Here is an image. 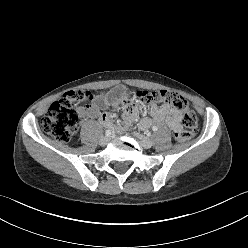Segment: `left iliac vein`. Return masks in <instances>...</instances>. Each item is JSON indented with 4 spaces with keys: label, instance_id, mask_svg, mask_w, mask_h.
<instances>
[{
    "label": "left iliac vein",
    "instance_id": "4c4485c4",
    "mask_svg": "<svg viewBox=\"0 0 248 248\" xmlns=\"http://www.w3.org/2000/svg\"><path fill=\"white\" fill-rule=\"evenodd\" d=\"M134 136L140 140V143L144 148L149 149L152 147L153 142L150 138L140 135L139 133H134Z\"/></svg>",
    "mask_w": 248,
    "mask_h": 248
}]
</instances>
